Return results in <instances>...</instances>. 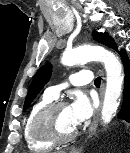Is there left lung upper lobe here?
I'll return each mask as SVG.
<instances>
[{"mask_svg":"<svg viewBox=\"0 0 130 153\" xmlns=\"http://www.w3.org/2000/svg\"><path fill=\"white\" fill-rule=\"evenodd\" d=\"M93 38L102 44H106L109 39L107 34L99 33L97 31L93 32ZM51 71V64L44 65L38 70L35 77L33 78L27 97L25 99L24 110L28 108L32 100L37 96L43 86L48 82L51 76Z\"/></svg>","mask_w":130,"mask_h":153,"instance_id":"1","label":"left lung upper lobe"}]
</instances>
